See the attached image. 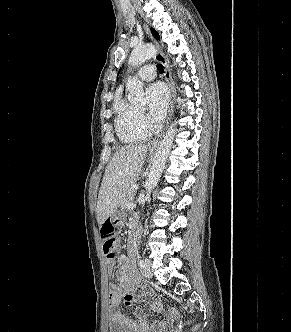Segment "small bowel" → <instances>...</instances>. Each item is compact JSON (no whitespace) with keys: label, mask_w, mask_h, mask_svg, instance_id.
<instances>
[{"label":"small bowel","mask_w":291,"mask_h":332,"mask_svg":"<svg viewBox=\"0 0 291 332\" xmlns=\"http://www.w3.org/2000/svg\"><path fill=\"white\" fill-rule=\"evenodd\" d=\"M107 267L108 271L112 272L114 267L112 260L107 261ZM115 276L117 281L109 291L111 332H164L177 319L176 312L170 309L167 311L166 320L155 321L150 325L143 307H137L134 310V318L127 317L121 311L122 302L126 306L140 302L148 305L154 312L162 311L164 306L153 297L146 286L141 285L133 258L121 255ZM139 287L142 292L137 295Z\"/></svg>","instance_id":"1"}]
</instances>
